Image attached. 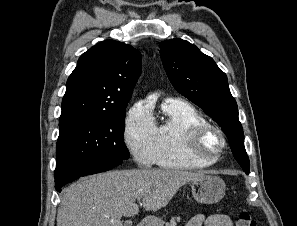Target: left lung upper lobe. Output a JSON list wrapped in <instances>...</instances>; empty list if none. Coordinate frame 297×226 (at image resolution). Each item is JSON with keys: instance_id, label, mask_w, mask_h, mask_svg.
Here are the masks:
<instances>
[{"instance_id": "left-lung-upper-lobe-1", "label": "left lung upper lobe", "mask_w": 297, "mask_h": 226, "mask_svg": "<svg viewBox=\"0 0 297 226\" xmlns=\"http://www.w3.org/2000/svg\"><path fill=\"white\" fill-rule=\"evenodd\" d=\"M160 52L172 85L219 124L230 141L234 158L249 174L250 163L244 147L243 128L226 74L211 57L188 41H163L160 43Z\"/></svg>"}]
</instances>
